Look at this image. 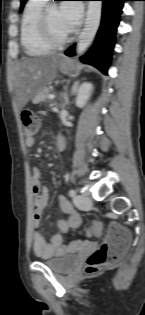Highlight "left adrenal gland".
I'll return each mask as SVG.
<instances>
[{
  "label": "left adrenal gland",
  "instance_id": "a2214340",
  "mask_svg": "<svg viewBox=\"0 0 145 315\" xmlns=\"http://www.w3.org/2000/svg\"><path fill=\"white\" fill-rule=\"evenodd\" d=\"M79 90V87L74 84L73 87H72V90H71V95H75ZM69 104V98H68V94L67 92H65L64 94V105H68Z\"/></svg>",
  "mask_w": 145,
  "mask_h": 315
}]
</instances>
